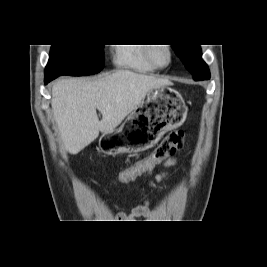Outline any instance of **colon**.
<instances>
[{
    "instance_id": "5ec220e1",
    "label": "colon",
    "mask_w": 267,
    "mask_h": 267,
    "mask_svg": "<svg viewBox=\"0 0 267 267\" xmlns=\"http://www.w3.org/2000/svg\"><path fill=\"white\" fill-rule=\"evenodd\" d=\"M185 132L181 129L167 134L155 149L143 160L136 162L127 169H121L116 175H111V180H117V185H126L138 178V174L150 170L167 156L180 151L184 146Z\"/></svg>"
}]
</instances>
